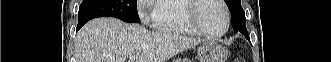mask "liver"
I'll return each mask as SVG.
<instances>
[{"instance_id":"liver-1","label":"liver","mask_w":331,"mask_h":62,"mask_svg":"<svg viewBox=\"0 0 331 62\" xmlns=\"http://www.w3.org/2000/svg\"><path fill=\"white\" fill-rule=\"evenodd\" d=\"M201 43L200 39L167 31H148L115 18H96L85 24L75 40L77 62H166Z\"/></svg>"}]
</instances>
